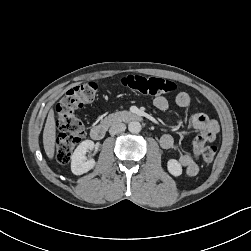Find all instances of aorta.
I'll use <instances>...</instances> for the list:
<instances>
[{"mask_svg":"<svg viewBox=\"0 0 251 251\" xmlns=\"http://www.w3.org/2000/svg\"><path fill=\"white\" fill-rule=\"evenodd\" d=\"M142 126L139 122L137 121H132L128 124V130L133 133V134H137L141 131Z\"/></svg>","mask_w":251,"mask_h":251,"instance_id":"762f6f07","label":"aorta"}]
</instances>
